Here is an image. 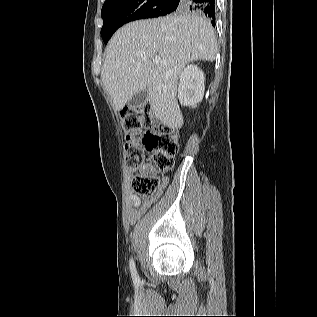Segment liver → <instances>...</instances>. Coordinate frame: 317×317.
I'll return each instance as SVG.
<instances>
[{"label": "liver", "instance_id": "obj_1", "mask_svg": "<svg viewBox=\"0 0 317 317\" xmlns=\"http://www.w3.org/2000/svg\"><path fill=\"white\" fill-rule=\"evenodd\" d=\"M217 50L210 21L198 13L134 21L109 41L101 79L117 111L147 90L154 116L179 129L183 116L176 99L178 77L189 62L213 61Z\"/></svg>", "mask_w": 317, "mask_h": 317}]
</instances>
